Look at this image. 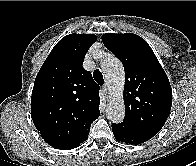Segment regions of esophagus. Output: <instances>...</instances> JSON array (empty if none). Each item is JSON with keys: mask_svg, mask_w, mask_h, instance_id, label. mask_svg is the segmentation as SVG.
I'll return each mask as SVG.
<instances>
[{"mask_svg": "<svg viewBox=\"0 0 196 166\" xmlns=\"http://www.w3.org/2000/svg\"><path fill=\"white\" fill-rule=\"evenodd\" d=\"M103 90L106 91V92L108 91V84L103 85Z\"/></svg>", "mask_w": 196, "mask_h": 166, "instance_id": "esophagus-1", "label": "esophagus"}]
</instances>
